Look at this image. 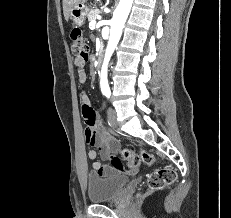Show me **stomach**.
<instances>
[{
	"mask_svg": "<svg viewBox=\"0 0 231 218\" xmlns=\"http://www.w3.org/2000/svg\"><path fill=\"white\" fill-rule=\"evenodd\" d=\"M88 7L84 3H76L69 12V17L77 26H82L88 14Z\"/></svg>",
	"mask_w": 231,
	"mask_h": 218,
	"instance_id": "stomach-1",
	"label": "stomach"
}]
</instances>
